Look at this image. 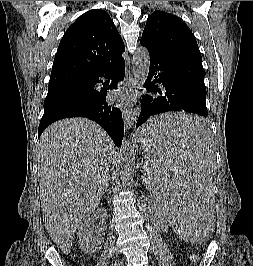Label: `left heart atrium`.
Returning <instances> with one entry per match:
<instances>
[{"mask_svg":"<svg viewBox=\"0 0 253 266\" xmlns=\"http://www.w3.org/2000/svg\"><path fill=\"white\" fill-rule=\"evenodd\" d=\"M111 99L114 103L122 106H131L134 100V94L129 91H119L115 92L112 96Z\"/></svg>","mask_w":253,"mask_h":266,"instance_id":"1","label":"left heart atrium"}]
</instances>
